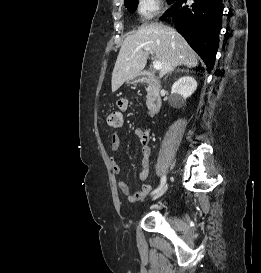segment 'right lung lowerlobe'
I'll return each mask as SVG.
<instances>
[{"label": "right lung lower lobe", "instance_id": "right-lung-lower-lobe-1", "mask_svg": "<svg viewBox=\"0 0 261 273\" xmlns=\"http://www.w3.org/2000/svg\"><path fill=\"white\" fill-rule=\"evenodd\" d=\"M174 1L160 19L173 18L177 31L203 59L210 73L219 46L222 0H194L191 6L186 5L187 0Z\"/></svg>", "mask_w": 261, "mask_h": 273}]
</instances>
